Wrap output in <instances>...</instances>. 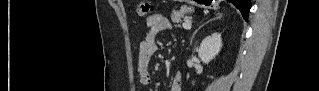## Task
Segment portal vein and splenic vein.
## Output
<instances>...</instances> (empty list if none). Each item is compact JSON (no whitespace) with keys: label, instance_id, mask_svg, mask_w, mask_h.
<instances>
[{"label":"portal vein and splenic vein","instance_id":"obj_1","mask_svg":"<svg viewBox=\"0 0 319 91\" xmlns=\"http://www.w3.org/2000/svg\"><path fill=\"white\" fill-rule=\"evenodd\" d=\"M182 26L184 29H191L192 24L190 21H186L182 24Z\"/></svg>","mask_w":319,"mask_h":91}]
</instances>
